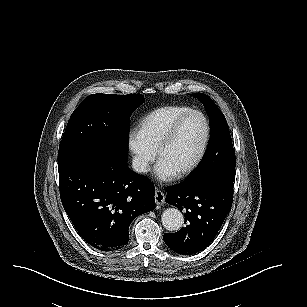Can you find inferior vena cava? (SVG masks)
I'll return each instance as SVG.
<instances>
[{"label":"inferior vena cava","instance_id":"obj_1","mask_svg":"<svg viewBox=\"0 0 307 307\" xmlns=\"http://www.w3.org/2000/svg\"><path fill=\"white\" fill-rule=\"evenodd\" d=\"M131 167L132 170L138 174H142L150 170L148 162L142 156L138 155L132 158Z\"/></svg>","mask_w":307,"mask_h":307}]
</instances>
